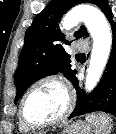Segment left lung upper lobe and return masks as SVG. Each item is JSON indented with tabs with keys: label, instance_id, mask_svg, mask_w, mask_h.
I'll return each instance as SVG.
<instances>
[{
	"label": "left lung upper lobe",
	"instance_id": "5c2ea615",
	"mask_svg": "<svg viewBox=\"0 0 116 134\" xmlns=\"http://www.w3.org/2000/svg\"><path fill=\"white\" fill-rule=\"evenodd\" d=\"M83 0H51L48 6L33 20L25 33V42L19 56L18 68L15 72L17 95L15 101L35 81L46 76L62 73L72 81L76 77V69H71L70 55L64 49V34L58 28L63 15ZM97 5L104 14L111 8L107 0H88ZM76 39L89 35L84 26L75 32Z\"/></svg>",
	"mask_w": 116,
	"mask_h": 134
}]
</instances>
